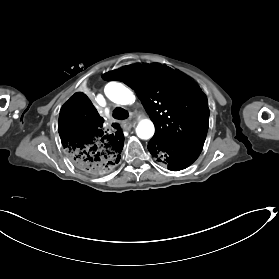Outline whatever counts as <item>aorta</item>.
I'll return each instance as SVG.
<instances>
[{"label": "aorta", "mask_w": 279, "mask_h": 279, "mask_svg": "<svg viewBox=\"0 0 279 279\" xmlns=\"http://www.w3.org/2000/svg\"><path fill=\"white\" fill-rule=\"evenodd\" d=\"M105 95L114 103L121 105L132 104L135 101L133 92L121 83L110 82L105 86ZM154 124L149 119L141 120L137 127V136L147 140L154 135Z\"/></svg>", "instance_id": "aorta-1"}]
</instances>
